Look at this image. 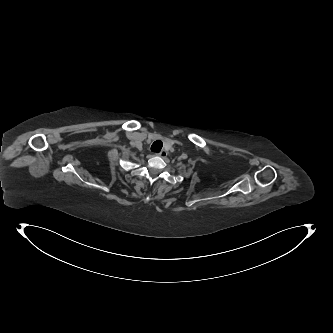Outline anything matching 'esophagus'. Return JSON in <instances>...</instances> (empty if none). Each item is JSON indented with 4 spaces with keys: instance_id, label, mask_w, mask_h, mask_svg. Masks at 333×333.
I'll use <instances>...</instances> for the list:
<instances>
[{
    "instance_id": "1",
    "label": "esophagus",
    "mask_w": 333,
    "mask_h": 333,
    "mask_svg": "<svg viewBox=\"0 0 333 333\" xmlns=\"http://www.w3.org/2000/svg\"><path fill=\"white\" fill-rule=\"evenodd\" d=\"M156 155H158L160 157H165L167 155V152L165 150H162L159 153H156Z\"/></svg>"
}]
</instances>
